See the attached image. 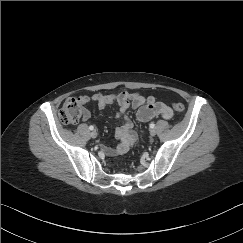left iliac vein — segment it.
I'll return each instance as SVG.
<instances>
[{"instance_id":"obj_1","label":"left iliac vein","mask_w":243,"mask_h":243,"mask_svg":"<svg viewBox=\"0 0 243 243\" xmlns=\"http://www.w3.org/2000/svg\"><path fill=\"white\" fill-rule=\"evenodd\" d=\"M150 135H151V136H155V135H156V131H155L154 129H151V130H150Z\"/></svg>"}]
</instances>
